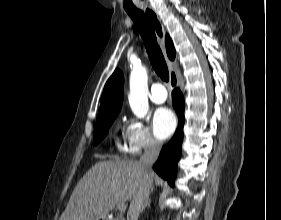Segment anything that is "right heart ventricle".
Returning a JSON list of instances; mask_svg holds the SVG:
<instances>
[{"mask_svg": "<svg viewBox=\"0 0 281 220\" xmlns=\"http://www.w3.org/2000/svg\"><path fill=\"white\" fill-rule=\"evenodd\" d=\"M117 147L124 152H130L126 145L122 144L119 140H117Z\"/></svg>", "mask_w": 281, "mask_h": 220, "instance_id": "obj_1", "label": "right heart ventricle"}]
</instances>
